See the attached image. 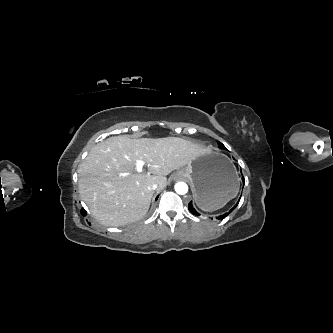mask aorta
<instances>
[{
	"instance_id": "aorta-1",
	"label": "aorta",
	"mask_w": 333,
	"mask_h": 333,
	"mask_svg": "<svg viewBox=\"0 0 333 333\" xmlns=\"http://www.w3.org/2000/svg\"><path fill=\"white\" fill-rule=\"evenodd\" d=\"M177 194L184 195L188 192V186L184 182H178L174 186Z\"/></svg>"
}]
</instances>
